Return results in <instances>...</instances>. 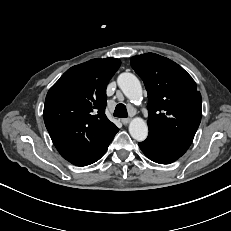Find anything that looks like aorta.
I'll return each mask as SVG.
<instances>
[{
  "label": "aorta",
  "mask_w": 231,
  "mask_h": 231,
  "mask_svg": "<svg viewBox=\"0 0 231 231\" xmlns=\"http://www.w3.org/2000/svg\"><path fill=\"white\" fill-rule=\"evenodd\" d=\"M117 83L127 98L138 101L142 97V87L138 78L132 73H121ZM129 133L137 141H144L148 136L147 123L139 117L133 118L129 124Z\"/></svg>",
  "instance_id": "aorta-1"
}]
</instances>
